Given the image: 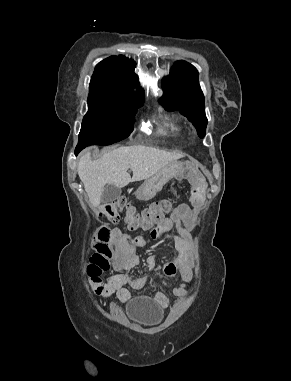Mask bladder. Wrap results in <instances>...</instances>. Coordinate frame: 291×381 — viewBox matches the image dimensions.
Segmentation results:
<instances>
[{
    "label": "bladder",
    "instance_id": "31cf9c89",
    "mask_svg": "<svg viewBox=\"0 0 291 381\" xmlns=\"http://www.w3.org/2000/svg\"><path fill=\"white\" fill-rule=\"evenodd\" d=\"M125 312L130 321L142 326L157 323L163 315L162 309L155 307L149 299L143 297L128 300Z\"/></svg>",
    "mask_w": 291,
    "mask_h": 381
}]
</instances>
